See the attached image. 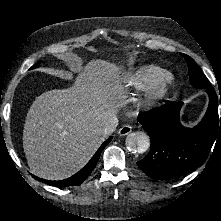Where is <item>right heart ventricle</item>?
Returning <instances> with one entry per match:
<instances>
[{
	"instance_id": "1",
	"label": "right heart ventricle",
	"mask_w": 221,
	"mask_h": 221,
	"mask_svg": "<svg viewBox=\"0 0 221 221\" xmlns=\"http://www.w3.org/2000/svg\"><path fill=\"white\" fill-rule=\"evenodd\" d=\"M168 73L166 70L156 66L141 67L126 77V82L140 89H149L156 83L164 80Z\"/></svg>"
}]
</instances>
